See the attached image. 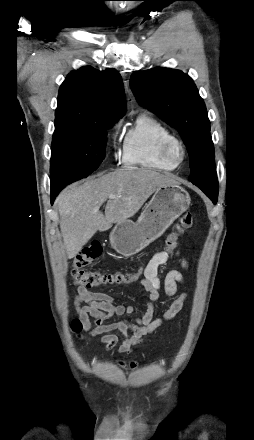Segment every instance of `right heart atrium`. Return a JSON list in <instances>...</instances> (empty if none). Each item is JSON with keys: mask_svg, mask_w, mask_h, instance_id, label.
<instances>
[{"mask_svg": "<svg viewBox=\"0 0 254 440\" xmlns=\"http://www.w3.org/2000/svg\"><path fill=\"white\" fill-rule=\"evenodd\" d=\"M118 129H119V123H115L111 129L110 133V139H111V146L114 151L117 150V136H118Z\"/></svg>", "mask_w": 254, "mask_h": 440, "instance_id": "right-heart-atrium-1", "label": "right heart atrium"}]
</instances>
